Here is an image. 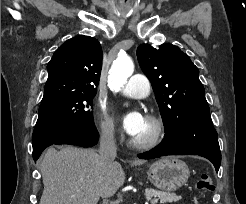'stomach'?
<instances>
[{"mask_svg": "<svg viewBox=\"0 0 246 204\" xmlns=\"http://www.w3.org/2000/svg\"><path fill=\"white\" fill-rule=\"evenodd\" d=\"M187 164L176 157H164L150 165L147 176L158 189L171 192L182 187L188 180Z\"/></svg>", "mask_w": 246, "mask_h": 204, "instance_id": "1", "label": "stomach"}]
</instances>
